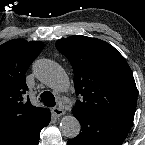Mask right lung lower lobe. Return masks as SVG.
Returning <instances> with one entry per match:
<instances>
[{
  "instance_id": "1",
  "label": "right lung lower lobe",
  "mask_w": 145,
  "mask_h": 145,
  "mask_svg": "<svg viewBox=\"0 0 145 145\" xmlns=\"http://www.w3.org/2000/svg\"><path fill=\"white\" fill-rule=\"evenodd\" d=\"M51 120V114L47 111L39 119L24 125L8 137L0 141V145H38L40 131Z\"/></svg>"
}]
</instances>
